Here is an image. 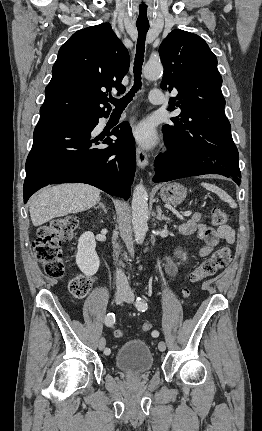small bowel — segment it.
I'll list each match as a JSON object with an SVG mask.
<instances>
[{"instance_id":"obj_1","label":"small bowel","mask_w":262,"mask_h":431,"mask_svg":"<svg viewBox=\"0 0 262 431\" xmlns=\"http://www.w3.org/2000/svg\"><path fill=\"white\" fill-rule=\"evenodd\" d=\"M183 234L190 236L196 235L204 242V246L200 249V254L206 256L210 254L218 245L220 239L228 243L234 242V232L228 226L212 228L208 223L203 222L201 215H195L193 220L187 221L181 225ZM166 270L174 276L177 272L176 264L171 258L167 259Z\"/></svg>"}]
</instances>
